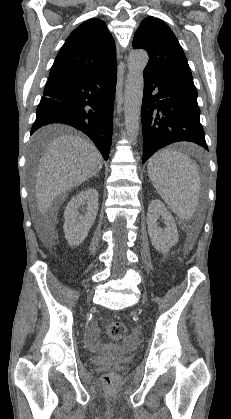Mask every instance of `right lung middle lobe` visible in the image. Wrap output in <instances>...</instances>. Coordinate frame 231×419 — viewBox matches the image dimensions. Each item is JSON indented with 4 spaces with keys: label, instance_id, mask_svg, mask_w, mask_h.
I'll return each mask as SVG.
<instances>
[{
    "label": "right lung middle lobe",
    "instance_id": "dd1d6c3e",
    "mask_svg": "<svg viewBox=\"0 0 231 419\" xmlns=\"http://www.w3.org/2000/svg\"><path fill=\"white\" fill-rule=\"evenodd\" d=\"M41 145V143H39V141H34V146L35 147H39Z\"/></svg>",
    "mask_w": 231,
    "mask_h": 419
}]
</instances>
